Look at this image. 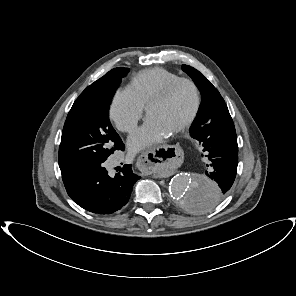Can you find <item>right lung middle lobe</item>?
Instances as JSON below:
<instances>
[{
  "label": "right lung middle lobe",
  "instance_id": "right-lung-middle-lobe-1",
  "mask_svg": "<svg viewBox=\"0 0 296 296\" xmlns=\"http://www.w3.org/2000/svg\"><path fill=\"white\" fill-rule=\"evenodd\" d=\"M115 68L88 86L74 102L64 124L59 146L62 175L106 160L124 144L109 121L112 97L128 73Z\"/></svg>",
  "mask_w": 296,
  "mask_h": 296
}]
</instances>
